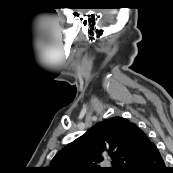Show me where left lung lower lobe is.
Segmentation results:
<instances>
[{
    "mask_svg": "<svg viewBox=\"0 0 173 173\" xmlns=\"http://www.w3.org/2000/svg\"><path fill=\"white\" fill-rule=\"evenodd\" d=\"M147 146L137 156L127 173H167L164 160L157 146L146 136Z\"/></svg>",
    "mask_w": 173,
    "mask_h": 173,
    "instance_id": "left-lung-lower-lobe-1",
    "label": "left lung lower lobe"
}]
</instances>
